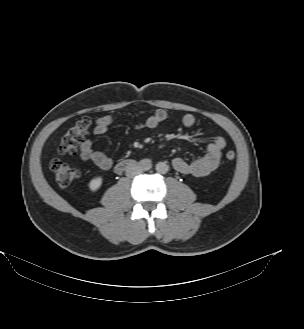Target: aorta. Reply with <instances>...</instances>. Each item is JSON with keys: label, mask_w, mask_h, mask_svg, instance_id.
I'll list each match as a JSON object with an SVG mask.
<instances>
[{"label": "aorta", "mask_w": 304, "mask_h": 329, "mask_svg": "<svg viewBox=\"0 0 304 329\" xmlns=\"http://www.w3.org/2000/svg\"><path fill=\"white\" fill-rule=\"evenodd\" d=\"M155 167L156 171L160 174L167 173L169 169V166L166 164V162H158Z\"/></svg>", "instance_id": "obj_1"}]
</instances>
